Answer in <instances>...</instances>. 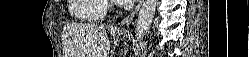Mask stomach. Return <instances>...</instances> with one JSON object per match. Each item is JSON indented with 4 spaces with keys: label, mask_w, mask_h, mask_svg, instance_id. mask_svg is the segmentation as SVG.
I'll list each match as a JSON object with an SVG mask.
<instances>
[{
    "label": "stomach",
    "mask_w": 249,
    "mask_h": 57,
    "mask_svg": "<svg viewBox=\"0 0 249 57\" xmlns=\"http://www.w3.org/2000/svg\"><path fill=\"white\" fill-rule=\"evenodd\" d=\"M122 34H123L122 32L111 31V35L114 37H120Z\"/></svg>",
    "instance_id": "1"
}]
</instances>
